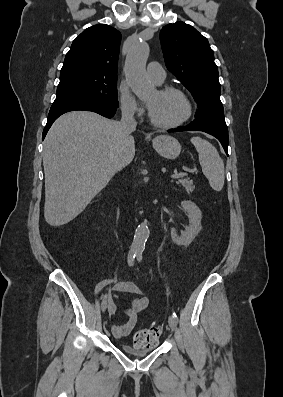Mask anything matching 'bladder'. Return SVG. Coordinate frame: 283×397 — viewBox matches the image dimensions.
Masks as SVG:
<instances>
[{"label":"bladder","mask_w":283,"mask_h":397,"mask_svg":"<svg viewBox=\"0 0 283 397\" xmlns=\"http://www.w3.org/2000/svg\"><path fill=\"white\" fill-rule=\"evenodd\" d=\"M156 348H157V343H154L153 345L147 348H136L128 344L120 345V349L122 350V352L134 357H143L154 351Z\"/></svg>","instance_id":"obj_1"}]
</instances>
